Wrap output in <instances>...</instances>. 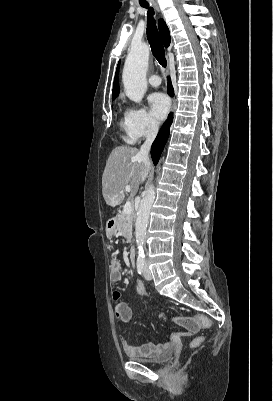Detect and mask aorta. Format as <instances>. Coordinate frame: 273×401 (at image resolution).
I'll return each mask as SVG.
<instances>
[{"instance_id": "obj_1", "label": "aorta", "mask_w": 273, "mask_h": 401, "mask_svg": "<svg viewBox=\"0 0 273 401\" xmlns=\"http://www.w3.org/2000/svg\"><path fill=\"white\" fill-rule=\"evenodd\" d=\"M149 60V47L146 44L135 45L128 54L122 80L126 96L140 103L147 89L146 72ZM155 199L154 185L150 184L145 191V196L140 202L135 222V237L138 248V257L144 256V242L150 210Z\"/></svg>"}]
</instances>
